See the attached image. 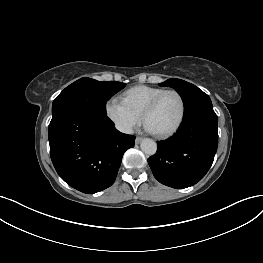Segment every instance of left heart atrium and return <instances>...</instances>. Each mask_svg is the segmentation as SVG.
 Wrapping results in <instances>:
<instances>
[{
	"instance_id": "1",
	"label": "left heart atrium",
	"mask_w": 263,
	"mask_h": 263,
	"mask_svg": "<svg viewBox=\"0 0 263 263\" xmlns=\"http://www.w3.org/2000/svg\"><path fill=\"white\" fill-rule=\"evenodd\" d=\"M146 129L149 131V132H152V133H155V131L149 126L146 124Z\"/></svg>"
}]
</instances>
